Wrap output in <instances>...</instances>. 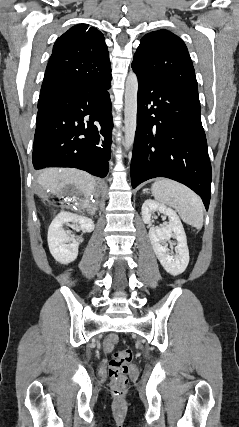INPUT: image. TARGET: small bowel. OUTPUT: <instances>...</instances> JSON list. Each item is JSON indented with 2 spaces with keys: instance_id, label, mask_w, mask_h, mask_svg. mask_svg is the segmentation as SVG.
Returning a JSON list of instances; mask_svg holds the SVG:
<instances>
[{
  "instance_id": "1",
  "label": "small bowel",
  "mask_w": 239,
  "mask_h": 427,
  "mask_svg": "<svg viewBox=\"0 0 239 427\" xmlns=\"http://www.w3.org/2000/svg\"><path fill=\"white\" fill-rule=\"evenodd\" d=\"M116 342H117V336H116V335H114V334L109 335V336L106 338V340L104 341V349H105L106 351H110V350H112V349H113V347H114V345L116 344Z\"/></svg>"
}]
</instances>
